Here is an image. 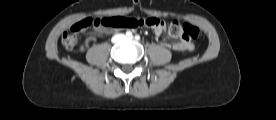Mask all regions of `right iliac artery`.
Masks as SVG:
<instances>
[{
  "label": "right iliac artery",
  "instance_id": "obj_1",
  "mask_svg": "<svg viewBox=\"0 0 276 120\" xmlns=\"http://www.w3.org/2000/svg\"><path fill=\"white\" fill-rule=\"evenodd\" d=\"M126 37H128V38L132 37V32L131 31H127L126 32Z\"/></svg>",
  "mask_w": 276,
  "mask_h": 120
}]
</instances>
